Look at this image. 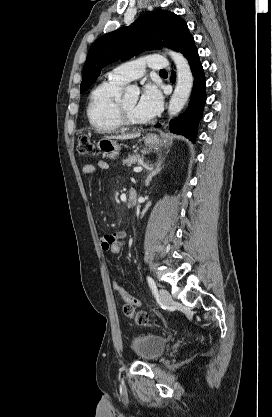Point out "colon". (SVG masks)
<instances>
[{"label": "colon", "instance_id": "5ec220e1", "mask_svg": "<svg viewBox=\"0 0 272 417\" xmlns=\"http://www.w3.org/2000/svg\"><path fill=\"white\" fill-rule=\"evenodd\" d=\"M78 152L81 155H92L95 153V147L90 139L82 136L78 141ZM126 248L125 238L113 239L109 244L107 251L111 255H119ZM113 290L124 300V312L127 316L134 317L136 322L141 325H146L149 322V317L145 312L135 313V309L140 307V301L131 296L117 281L113 282Z\"/></svg>", "mask_w": 272, "mask_h": 417}]
</instances>
